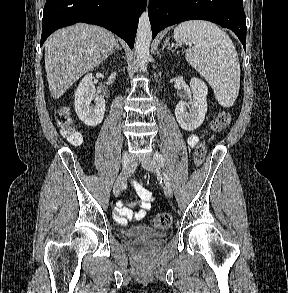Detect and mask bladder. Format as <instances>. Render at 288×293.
I'll list each match as a JSON object with an SVG mask.
<instances>
[{
    "mask_svg": "<svg viewBox=\"0 0 288 293\" xmlns=\"http://www.w3.org/2000/svg\"><path fill=\"white\" fill-rule=\"evenodd\" d=\"M130 236L142 235L147 237H162L163 233L147 227H133L127 231Z\"/></svg>",
    "mask_w": 288,
    "mask_h": 293,
    "instance_id": "1",
    "label": "bladder"
}]
</instances>
